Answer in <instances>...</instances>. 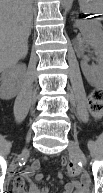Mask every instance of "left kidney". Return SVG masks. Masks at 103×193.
<instances>
[{
    "label": "left kidney",
    "mask_w": 103,
    "mask_h": 193,
    "mask_svg": "<svg viewBox=\"0 0 103 193\" xmlns=\"http://www.w3.org/2000/svg\"><path fill=\"white\" fill-rule=\"evenodd\" d=\"M77 27L82 28V24H77ZM91 45L95 51V55L98 58V63L96 66H89L86 61L81 62V69L86 77V79L90 82H102L103 79V44L102 40L93 39L91 40Z\"/></svg>",
    "instance_id": "left-kidney-1"
}]
</instances>
